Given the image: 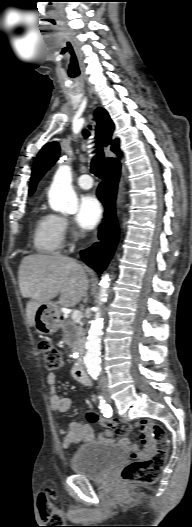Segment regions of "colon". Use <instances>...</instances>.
I'll use <instances>...</instances> for the list:
<instances>
[{
  "mask_svg": "<svg viewBox=\"0 0 192 527\" xmlns=\"http://www.w3.org/2000/svg\"><path fill=\"white\" fill-rule=\"evenodd\" d=\"M39 349L43 354L46 367L50 371L59 372L64 367V362L60 351L49 341H41ZM88 418L91 422H99L117 434L125 435L131 430V425L118 419L100 418L95 413L90 412ZM142 428H147L154 442V453L148 459L132 460L121 472V479L125 483H153L160 476L167 460L169 450V440L165 430L158 424L146 421L138 424ZM45 499H42V504Z\"/></svg>",
  "mask_w": 192,
  "mask_h": 527,
  "instance_id": "colon-1",
  "label": "colon"
}]
</instances>
